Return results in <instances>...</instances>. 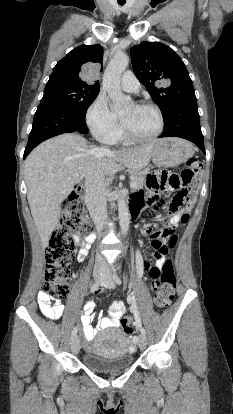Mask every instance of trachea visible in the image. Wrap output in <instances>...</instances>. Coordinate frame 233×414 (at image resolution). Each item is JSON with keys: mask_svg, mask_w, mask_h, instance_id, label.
Segmentation results:
<instances>
[{"mask_svg": "<svg viewBox=\"0 0 233 414\" xmlns=\"http://www.w3.org/2000/svg\"><path fill=\"white\" fill-rule=\"evenodd\" d=\"M126 0H118L119 5H124Z\"/></svg>", "mask_w": 233, "mask_h": 414, "instance_id": "obj_1", "label": "trachea"}]
</instances>
